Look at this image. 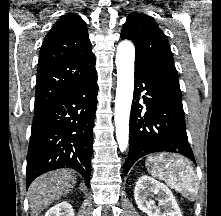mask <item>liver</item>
Returning a JSON list of instances; mask_svg holds the SVG:
<instances>
[{"mask_svg":"<svg viewBox=\"0 0 221 216\" xmlns=\"http://www.w3.org/2000/svg\"><path fill=\"white\" fill-rule=\"evenodd\" d=\"M75 183L74 174L67 169L51 171L35 179L28 190L33 216H38L51 203L67 195Z\"/></svg>","mask_w":221,"mask_h":216,"instance_id":"6515ba94","label":"liver"}]
</instances>
